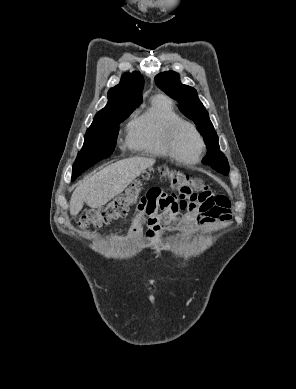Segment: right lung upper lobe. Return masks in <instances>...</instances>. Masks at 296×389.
Instances as JSON below:
<instances>
[{
    "label": "right lung upper lobe",
    "instance_id": "cb5924a9",
    "mask_svg": "<svg viewBox=\"0 0 296 389\" xmlns=\"http://www.w3.org/2000/svg\"><path fill=\"white\" fill-rule=\"evenodd\" d=\"M143 76L135 71L122 75L120 83L108 91V103L94 119L123 108L137 107L142 102Z\"/></svg>",
    "mask_w": 296,
    "mask_h": 389
}]
</instances>
